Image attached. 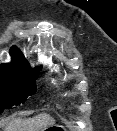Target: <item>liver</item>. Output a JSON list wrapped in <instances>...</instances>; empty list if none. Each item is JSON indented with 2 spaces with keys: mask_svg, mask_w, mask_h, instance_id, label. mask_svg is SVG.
Listing matches in <instances>:
<instances>
[{
  "mask_svg": "<svg viewBox=\"0 0 117 131\" xmlns=\"http://www.w3.org/2000/svg\"><path fill=\"white\" fill-rule=\"evenodd\" d=\"M55 120L47 114H41L35 118L11 123L6 131H43L53 125Z\"/></svg>",
  "mask_w": 117,
  "mask_h": 131,
  "instance_id": "1",
  "label": "liver"
}]
</instances>
